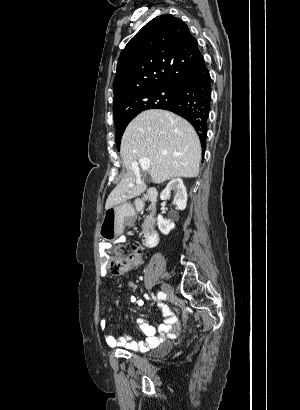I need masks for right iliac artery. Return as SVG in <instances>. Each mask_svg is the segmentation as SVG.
<instances>
[{
    "instance_id": "right-iliac-artery-1",
    "label": "right iliac artery",
    "mask_w": 300,
    "mask_h": 410,
    "mask_svg": "<svg viewBox=\"0 0 300 410\" xmlns=\"http://www.w3.org/2000/svg\"><path fill=\"white\" fill-rule=\"evenodd\" d=\"M158 299H165L166 298V294L163 292H158L157 294Z\"/></svg>"
}]
</instances>
